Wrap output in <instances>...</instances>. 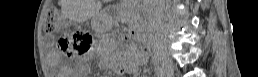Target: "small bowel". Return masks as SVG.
Segmentation results:
<instances>
[{"label":"small bowel","mask_w":258,"mask_h":77,"mask_svg":"<svg viewBox=\"0 0 258 77\" xmlns=\"http://www.w3.org/2000/svg\"><path fill=\"white\" fill-rule=\"evenodd\" d=\"M57 54L54 52L52 56H56ZM125 57V61L120 65V67L125 72H134L136 69L143 65L147 60V55L145 53L139 52V53H131V52H125L123 53Z\"/></svg>","instance_id":"obj_1"}]
</instances>
